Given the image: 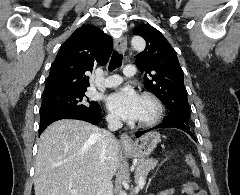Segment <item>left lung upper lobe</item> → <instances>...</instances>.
<instances>
[{"label": "left lung upper lobe", "instance_id": "obj_1", "mask_svg": "<svg viewBox=\"0 0 240 195\" xmlns=\"http://www.w3.org/2000/svg\"><path fill=\"white\" fill-rule=\"evenodd\" d=\"M133 34L142 36L146 48L135 61L145 71V88L155 94L169 111L163 121L189 125V104L184 86V74L177 54L157 29L149 24L136 27Z\"/></svg>", "mask_w": 240, "mask_h": 195}]
</instances>
